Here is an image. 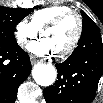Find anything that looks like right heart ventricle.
Listing matches in <instances>:
<instances>
[{"label":"right heart ventricle","mask_w":103,"mask_h":103,"mask_svg":"<svg viewBox=\"0 0 103 103\" xmlns=\"http://www.w3.org/2000/svg\"><path fill=\"white\" fill-rule=\"evenodd\" d=\"M70 10L72 9L66 5H50L33 12L30 16V22L40 31L54 18Z\"/></svg>","instance_id":"e07e8e85"}]
</instances>
